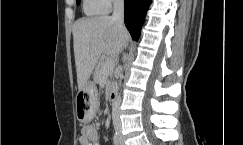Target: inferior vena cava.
<instances>
[{"label": "inferior vena cava", "instance_id": "obj_1", "mask_svg": "<svg viewBox=\"0 0 243 145\" xmlns=\"http://www.w3.org/2000/svg\"><path fill=\"white\" fill-rule=\"evenodd\" d=\"M112 20L117 22L118 26L121 29H124V1L123 0H114L113 4V14H112ZM127 44L124 45L126 47ZM120 109V96L117 97L115 103L113 104L112 107V113L113 116L116 118L118 117ZM118 120V118H117Z\"/></svg>", "mask_w": 243, "mask_h": 145}]
</instances>
